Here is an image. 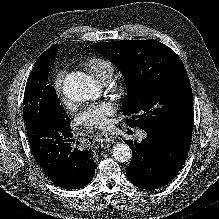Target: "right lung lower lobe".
<instances>
[{
    "label": "right lung lower lobe",
    "instance_id": "98d812e1",
    "mask_svg": "<svg viewBox=\"0 0 219 219\" xmlns=\"http://www.w3.org/2000/svg\"><path fill=\"white\" fill-rule=\"evenodd\" d=\"M26 129L36 162L55 185L77 189L92 180L95 173L92 151L73 148L71 127H64L51 116L41 115L27 123Z\"/></svg>",
    "mask_w": 219,
    "mask_h": 219
}]
</instances>
